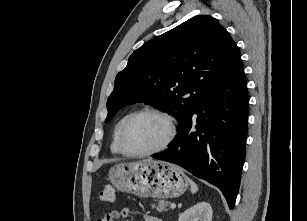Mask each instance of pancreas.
Wrapping results in <instances>:
<instances>
[{
  "instance_id": "obj_1",
  "label": "pancreas",
  "mask_w": 307,
  "mask_h": 221,
  "mask_svg": "<svg viewBox=\"0 0 307 221\" xmlns=\"http://www.w3.org/2000/svg\"><path fill=\"white\" fill-rule=\"evenodd\" d=\"M169 205V202H165L164 200H160L159 203L156 205V204H152V208H156L157 211L159 212H164V211H167V207Z\"/></svg>"
}]
</instances>
